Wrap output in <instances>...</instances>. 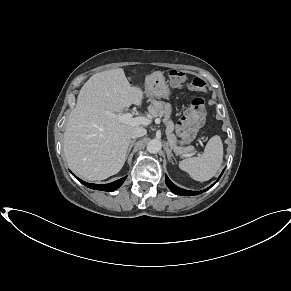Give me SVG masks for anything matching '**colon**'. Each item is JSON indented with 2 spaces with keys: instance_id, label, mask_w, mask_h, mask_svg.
Here are the masks:
<instances>
[{
  "instance_id": "1",
  "label": "colon",
  "mask_w": 291,
  "mask_h": 291,
  "mask_svg": "<svg viewBox=\"0 0 291 291\" xmlns=\"http://www.w3.org/2000/svg\"><path fill=\"white\" fill-rule=\"evenodd\" d=\"M169 79L173 84L178 85L186 80V75L179 70H169L167 72ZM200 80L196 79L193 86H198ZM205 120V101L202 97H196L190 108L186 111L182 122L180 123L178 132L185 142H190L197 129L204 123Z\"/></svg>"
}]
</instances>
